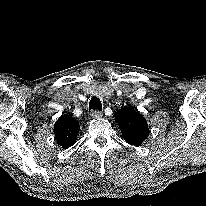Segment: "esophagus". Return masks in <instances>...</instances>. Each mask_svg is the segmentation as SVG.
Here are the masks:
<instances>
[{
    "instance_id": "obj_1",
    "label": "esophagus",
    "mask_w": 206,
    "mask_h": 206,
    "mask_svg": "<svg viewBox=\"0 0 206 206\" xmlns=\"http://www.w3.org/2000/svg\"><path fill=\"white\" fill-rule=\"evenodd\" d=\"M90 116H91L93 119H97V118L102 117V112H100V111H98V110H93V111L90 113Z\"/></svg>"
}]
</instances>
